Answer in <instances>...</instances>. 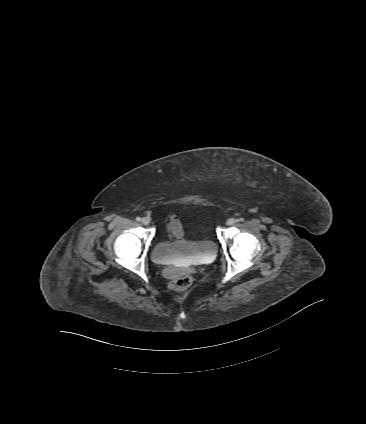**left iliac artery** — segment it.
Masks as SVG:
<instances>
[{"mask_svg":"<svg viewBox=\"0 0 366 424\" xmlns=\"http://www.w3.org/2000/svg\"><path fill=\"white\" fill-rule=\"evenodd\" d=\"M237 221H239V222H243V221H244V219H243V218H239Z\"/></svg>","mask_w":366,"mask_h":424,"instance_id":"1","label":"left iliac artery"}]
</instances>
